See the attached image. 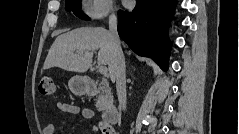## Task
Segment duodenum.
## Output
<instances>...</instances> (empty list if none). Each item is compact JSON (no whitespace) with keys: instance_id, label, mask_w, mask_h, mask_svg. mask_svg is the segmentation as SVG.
Instances as JSON below:
<instances>
[{"instance_id":"obj_1","label":"duodenum","mask_w":239,"mask_h":134,"mask_svg":"<svg viewBox=\"0 0 239 134\" xmlns=\"http://www.w3.org/2000/svg\"><path fill=\"white\" fill-rule=\"evenodd\" d=\"M85 87L89 94H94L97 89V85L94 79L88 77L85 81ZM119 119L118 109L114 106H109L103 113V123L107 127L114 126Z\"/></svg>"}]
</instances>
